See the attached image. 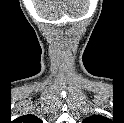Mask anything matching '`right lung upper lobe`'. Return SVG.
Instances as JSON below:
<instances>
[{
	"label": "right lung upper lobe",
	"instance_id": "right-lung-upper-lobe-1",
	"mask_svg": "<svg viewBox=\"0 0 124 123\" xmlns=\"http://www.w3.org/2000/svg\"><path fill=\"white\" fill-rule=\"evenodd\" d=\"M22 120L24 121H28V122H34V123H39L41 122L40 119H38L36 116L34 115H25L21 117Z\"/></svg>",
	"mask_w": 124,
	"mask_h": 123
}]
</instances>
